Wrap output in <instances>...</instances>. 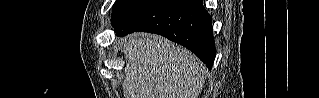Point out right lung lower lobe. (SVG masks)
Returning a JSON list of instances; mask_svg holds the SVG:
<instances>
[{"mask_svg":"<svg viewBox=\"0 0 319 98\" xmlns=\"http://www.w3.org/2000/svg\"><path fill=\"white\" fill-rule=\"evenodd\" d=\"M118 36L144 31L160 34L195 53L211 69L216 51L212 18L202 0H149L114 26Z\"/></svg>","mask_w":319,"mask_h":98,"instance_id":"obj_1","label":"right lung lower lobe"}]
</instances>
